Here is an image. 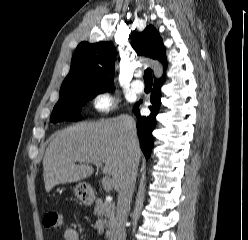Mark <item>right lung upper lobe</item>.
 Returning a JSON list of instances; mask_svg holds the SVG:
<instances>
[{
  "label": "right lung upper lobe",
  "mask_w": 248,
  "mask_h": 240,
  "mask_svg": "<svg viewBox=\"0 0 248 240\" xmlns=\"http://www.w3.org/2000/svg\"><path fill=\"white\" fill-rule=\"evenodd\" d=\"M136 52H143L163 64L164 75L167 61L165 46L159 32L149 25L134 35L132 44ZM116 53L112 42H81L71 60L70 72L60 88V92L70 88H95L110 90L113 84Z\"/></svg>",
  "instance_id": "cb5924a9"
}]
</instances>
